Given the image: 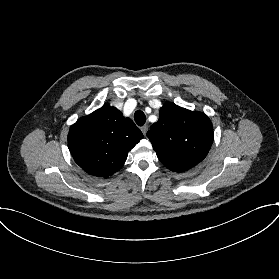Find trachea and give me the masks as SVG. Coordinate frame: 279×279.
<instances>
[{
  "label": "trachea",
  "mask_w": 279,
  "mask_h": 279,
  "mask_svg": "<svg viewBox=\"0 0 279 279\" xmlns=\"http://www.w3.org/2000/svg\"><path fill=\"white\" fill-rule=\"evenodd\" d=\"M134 119H135V122L137 123V125H139V126H143L146 122V116L140 110L135 112Z\"/></svg>",
  "instance_id": "3493384b"
}]
</instances>
